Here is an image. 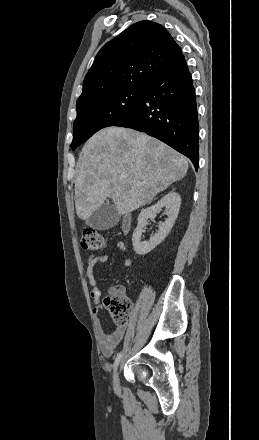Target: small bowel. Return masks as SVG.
I'll use <instances>...</instances> for the list:
<instances>
[{
	"instance_id": "small-bowel-1",
	"label": "small bowel",
	"mask_w": 259,
	"mask_h": 440,
	"mask_svg": "<svg viewBox=\"0 0 259 440\" xmlns=\"http://www.w3.org/2000/svg\"><path fill=\"white\" fill-rule=\"evenodd\" d=\"M116 247L122 252H126V246L122 241L116 242ZM108 260V256L106 254H100L97 256H89L86 260L85 268H86V276L88 279L89 286L91 287L90 296L94 301V314H98L101 310L100 305V297L101 290L97 286L96 279L94 277V269L98 264L104 263ZM132 264V260L125 255L124 257V265L130 266ZM126 329L124 327L117 328L111 332H105L100 323L97 325V335L99 338V348L102 354L105 357H109L112 355L115 348L119 345L121 340L125 335Z\"/></svg>"
}]
</instances>
